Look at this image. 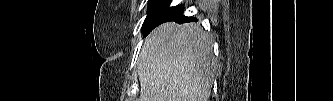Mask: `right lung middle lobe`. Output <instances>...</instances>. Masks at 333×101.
Instances as JSON below:
<instances>
[{
	"label": "right lung middle lobe",
	"mask_w": 333,
	"mask_h": 101,
	"mask_svg": "<svg viewBox=\"0 0 333 101\" xmlns=\"http://www.w3.org/2000/svg\"><path fill=\"white\" fill-rule=\"evenodd\" d=\"M153 2H154V0H150V1H149V4H151V3H153Z\"/></svg>",
	"instance_id": "1"
}]
</instances>
